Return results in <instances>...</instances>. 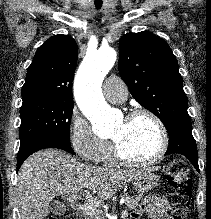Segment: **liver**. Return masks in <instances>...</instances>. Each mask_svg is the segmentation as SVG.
<instances>
[{
	"label": "liver",
	"instance_id": "obj_1",
	"mask_svg": "<svg viewBox=\"0 0 211 219\" xmlns=\"http://www.w3.org/2000/svg\"><path fill=\"white\" fill-rule=\"evenodd\" d=\"M139 173L81 164L63 151L41 150L23 163L17 175L20 219H43L58 195L81 194L90 207L98 208Z\"/></svg>",
	"mask_w": 211,
	"mask_h": 219
}]
</instances>
